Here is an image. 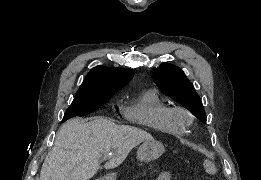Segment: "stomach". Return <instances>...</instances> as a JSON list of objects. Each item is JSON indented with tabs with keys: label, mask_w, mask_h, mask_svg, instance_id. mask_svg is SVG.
Here are the masks:
<instances>
[{
	"label": "stomach",
	"mask_w": 261,
	"mask_h": 180,
	"mask_svg": "<svg viewBox=\"0 0 261 180\" xmlns=\"http://www.w3.org/2000/svg\"><path fill=\"white\" fill-rule=\"evenodd\" d=\"M165 151L163 144L154 139L143 142L138 148L137 159L140 162H150L159 158ZM117 174L111 173L106 175L101 180H116Z\"/></svg>",
	"instance_id": "0dacf381"
}]
</instances>
